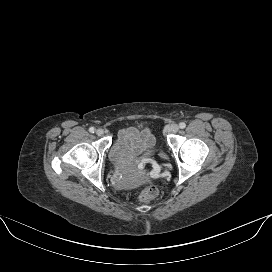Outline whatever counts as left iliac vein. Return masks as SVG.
I'll use <instances>...</instances> for the list:
<instances>
[{
	"mask_svg": "<svg viewBox=\"0 0 272 272\" xmlns=\"http://www.w3.org/2000/svg\"><path fill=\"white\" fill-rule=\"evenodd\" d=\"M179 130V126L177 124H171L168 128V131L172 132V133H176Z\"/></svg>",
	"mask_w": 272,
	"mask_h": 272,
	"instance_id": "1",
	"label": "left iliac vein"
}]
</instances>
